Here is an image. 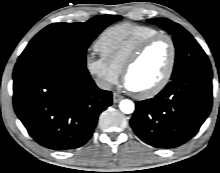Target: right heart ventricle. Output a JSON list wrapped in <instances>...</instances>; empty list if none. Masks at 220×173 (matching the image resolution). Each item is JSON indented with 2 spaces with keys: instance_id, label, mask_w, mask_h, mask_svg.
<instances>
[{
  "instance_id": "1",
  "label": "right heart ventricle",
  "mask_w": 220,
  "mask_h": 173,
  "mask_svg": "<svg viewBox=\"0 0 220 173\" xmlns=\"http://www.w3.org/2000/svg\"><path fill=\"white\" fill-rule=\"evenodd\" d=\"M158 33L151 26L121 23L106 29L99 36L95 47L102 58L121 72L133 50L142 41Z\"/></svg>"
}]
</instances>
